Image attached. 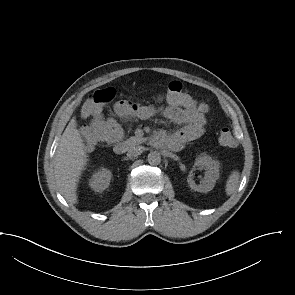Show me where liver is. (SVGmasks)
<instances>
[{"mask_svg":"<svg viewBox=\"0 0 295 295\" xmlns=\"http://www.w3.org/2000/svg\"><path fill=\"white\" fill-rule=\"evenodd\" d=\"M87 157L83 139L77 130L76 120L73 118L62 134L54 161L57 187L71 204L77 203L78 181L87 165Z\"/></svg>","mask_w":295,"mask_h":295,"instance_id":"1","label":"liver"}]
</instances>
